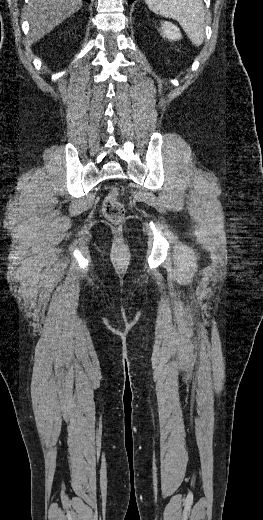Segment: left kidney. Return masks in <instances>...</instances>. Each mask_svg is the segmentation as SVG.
<instances>
[{"mask_svg":"<svg viewBox=\"0 0 263 520\" xmlns=\"http://www.w3.org/2000/svg\"><path fill=\"white\" fill-rule=\"evenodd\" d=\"M161 29H162L163 37H166L169 40H174V41L181 39V33H180L179 29L172 23L164 22L162 24Z\"/></svg>","mask_w":263,"mask_h":520,"instance_id":"left-kidney-1","label":"left kidney"}]
</instances>
